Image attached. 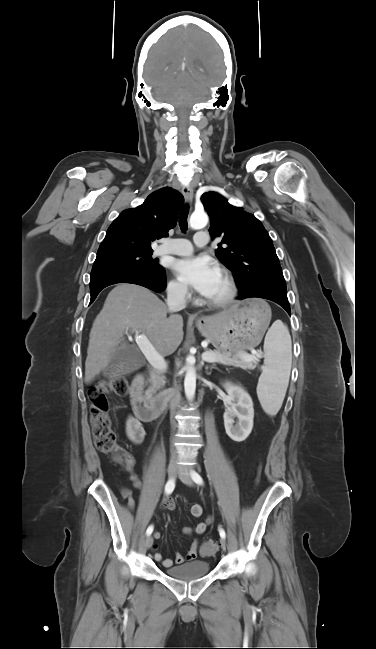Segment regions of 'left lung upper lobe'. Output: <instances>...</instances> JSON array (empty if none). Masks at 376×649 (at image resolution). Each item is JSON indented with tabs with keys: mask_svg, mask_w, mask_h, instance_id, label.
Wrapping results in <instances>:
<instances>
[{
	"mask_svg": "<svg viewBox=\"0 0 376 649\" xmlns=\"http://www.w3.org/2000/svg\"><path fill=\"white\" fill-rule=\"evenodd\" d=\"M201 201L210 216L212 238H222L216 255L239 277L241 294L259 285L287 294L279 259L262 223L216 192L204 193Z\"/></svg>",
	"mask_w": 376,
	"mask_h": 649,
	"instance_id": "left-lung-upper-lobe-1",
	"label": "left lung upper lobe"
}]
</instances>
